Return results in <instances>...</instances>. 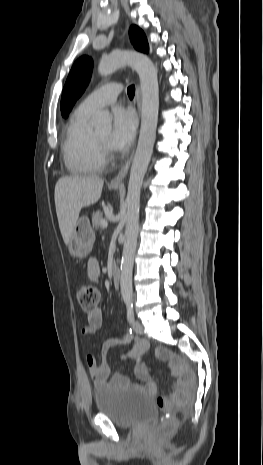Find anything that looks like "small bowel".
I'll return each instance as SVG.
<instances>
[{
	"mask_svg": "<svg viewBox=\"0 0 263 465\" xmlns=\"http://www.w3.org/2000/svg\"><path fill=\"white\" fill-rule=\"evenodd\" d=\"M87 274L90 280H96L100 274L99 262L96 258H90L87 263ZM103 324V314L100 308L87 314V325L83 327L82 334L84 336L94 335ZM131 335L116 336L108 338L101 347V360L98 363L93 355L86 356V364L89 370L92 382L97 389H101L106 385L114 387H141L139 384L131 382L127 377L121 374L113 375L110 380V368L108 365L109 350L117 345L125 344L132 341ZM148 349V343L143 340H135L133 349L125 354L124 358H135L136 364L134 371L136 376L144 382L142 386L147 392L156 394V388L150 379V375L142 356Z\"/></svg>",
	"mask_w": 263,
	"mask_h": 465,
	"instance_id": "c3829d8e",
	"label": "small bowel"
}]
</instances>
